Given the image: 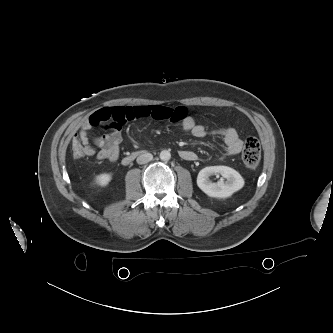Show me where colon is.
I'll return each mask as SVG.
<instances>
[{"label": "colon", "mask_w": 333, "mask_h": 333, "mask_svg": "<svg viewBox=\"0 0 333 333\" xmlns=\"http://www.w3.org/2000/svg\"><path fill=\"white\" fill-rule=\"evenodd\" d=\"M223 131L224 129L218 130L215 133L221 134ZM71 147L75 159H80L85 156L83 145L78 138L75 137L72 140ZM241 156L246 166L254 168L258 165L261 157V146L256 137L249 136L245 139Z\"/></svg>", "instance_id": "5ec220e1"}]
</instances>
